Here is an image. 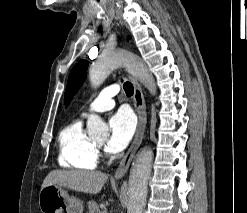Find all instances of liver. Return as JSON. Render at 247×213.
Here are the masks:
<instances>
[{"label": "liver", "instance_id": "6515ba94", "mask_svg": "<svg viewBox=\"0 0 247 213\" xmlns=\"http://www.w3.org/2000/svg\"><path fill=\"white\" fill-rule=\"evenodd\" d=\"M107 179L108 175L99 171L54 170L44 179L42 188L58 185L78 192L97 194Z\"/></svg>", "mask_w": 247, "mask_h": 213}]
</instances>
